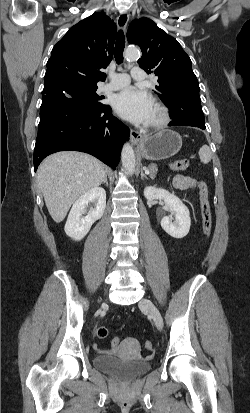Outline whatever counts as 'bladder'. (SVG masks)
Listing matches in <instances>:
<instances>
[{
	"label": "bladder",
	"mask_w": 250,
	"mask_h": 413,
	"mask_svg": "<svg viewBox=\"0 0 250 413\" xmlns=\"http://www.w3.org/2000/svg\"><path fill=\"white\" fill-rule=\"evenodd\" d=\"M96 368L122 380H132L151 369V363L143 359H126L115 355H98L94 358Z\"/></svg>",
	"instance_id": "1"
}]
</instances>
